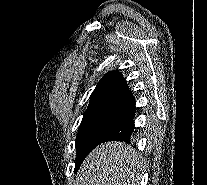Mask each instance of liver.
<instances>
[{"mask_svg":"<svg viewBox=\"0 0 207 185\" xmlns=\"http://www.w3.org/2000/svg\"><path fill=\"white\" fill-rule=\"evenodd\" d=\"M139 157L133 147L120 141L101 143L83 161L80 185H141Z\"/></svg>","mask_w":207,"mask_h":185,"instance_id":"6515ba94","label":"liver"}]
</instances>
